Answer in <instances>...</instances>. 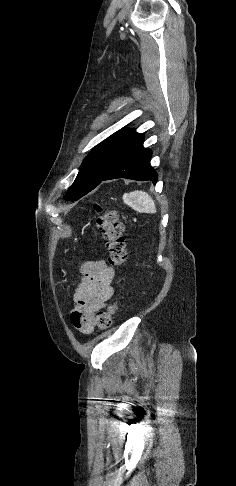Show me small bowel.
<instances>
[{
  "label": "small bowel",
  "instance_id": "1",
  "mask_svg": "<svg viewBox=\"0 0 236 486\" xmlns=\"http://www.w3.org/2000/svg\"><path fill=\"white\" fill-rule=\"evenodd\" d=\"M81 273L82 280L73 297L70 320L78 331L89 334L96 324L97 313L113 296L115 271L100 260L84 263Z\"/></svg>",
  "mask_w": 236,
  "mask_h": 486
}]
</instances>
